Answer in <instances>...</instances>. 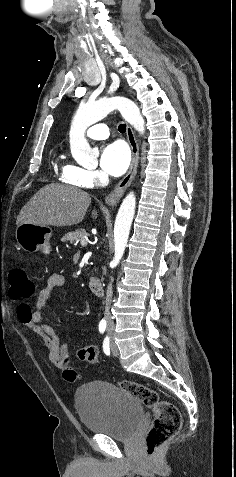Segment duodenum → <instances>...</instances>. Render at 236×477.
Instances as JSON below:
<instances>
[{
    "label": "duodenum",
    "instance_id": "obj_1",
    "mask_svg": "<svg viewBox=\"0 0 236 477\" xmlns=\"http://www.w3.org/2000/svg\"><path fill=\"white\" fill-rule=\"evenodd\" d=\"M90 291L97 295L102 296L104 294V288L101 280L98 277H91L88 281Z\"/></svg>",
    "mask_w": 236,
    "mask_h": 477
}]
</instances>
